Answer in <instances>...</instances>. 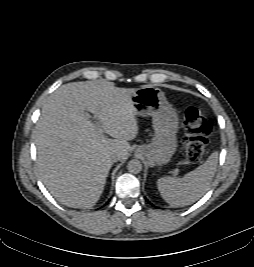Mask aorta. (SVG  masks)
Wrapping results in <instances>:
<instances>
[{
	"label": "aorta",
	"mask_w": 254,
	"mask_h": 267,
	"mask_svg": "<svg viewBox=\"0 0 254 267\" xmlns=\"http://www.w3.org/2000/svg\"><path fill=\"white\" fill-rule=\"evenodd\" d=\"M127 169L132 174H138L142 171V163L138 159H132L128 162Z\"/></svg>",
	"instance_id": "aorta-1"
}]
</instances>
